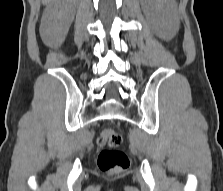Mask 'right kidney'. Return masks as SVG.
Here are the masks:
<instances>
[{
  "label": "right kidney",
  "instance_id": "ca27d5eb",
  "mask_svg": "<svg viewBox=\"0 0 223 191\" xmlns=\"http://www.w3.org/2000/svg\"><path fill=\"white\" fill-rule=\"evenodd\" d=\"M76 0H54L45 9L40 33L43 41L53 46L65 39L74 19Z\"/></svg>",
  "mask_w": 223,
  "mask_h": 191
}]
</instances>
